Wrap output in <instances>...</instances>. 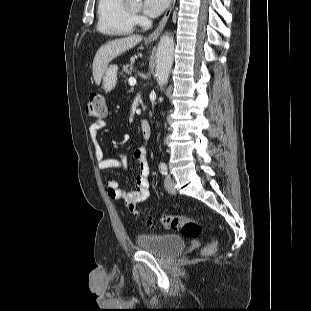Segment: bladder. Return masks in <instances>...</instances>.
<instances>
[{"mask_svg":"<svg viewBox=\"0 0 311 311\" xmlns=\"http://www.w3.org/2000/svg\"><path fill=\"white\" fill-rule=\"evenodd\" d=\"M136 245L142 251L167 259L181 252L186 242L177 234H141L136 238Z\"/></svg>","mask_w":311,"mask_h":311,"instance_id":"31cf9c89","label":"bladder"}]
</instances>
